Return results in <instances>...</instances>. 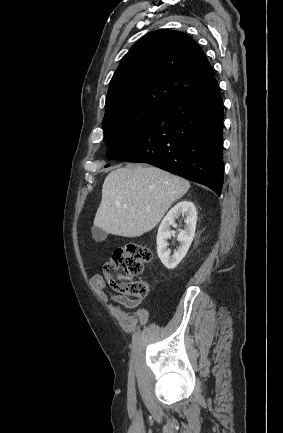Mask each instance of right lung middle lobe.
<instances>
[{"label":"right lung middle lobe","mask_w":283,"mask_h":433,"mask_svg":"<svg viewBox=\"0 0 283 433\" xmlns=\"http://www.w3.org/2000/svg\"><path fill=\"white\" fill-rule=\"evenodd\" d=\"M162 107L144 104H128L106 111L102 128L108 146L106 156L111 158L125 149L141 129Z\"/></svg>","instance_id":"right-lung-middle-lobe-1"}]
</instances>
